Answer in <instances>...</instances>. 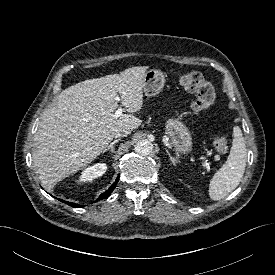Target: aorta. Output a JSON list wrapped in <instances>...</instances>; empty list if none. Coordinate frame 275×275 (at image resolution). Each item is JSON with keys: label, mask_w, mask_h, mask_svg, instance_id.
I'll return each mask as SVG.
<instances>
[{"label": "aorta", "mask_w": 275, "mask_h": 275, "mask_svg": "<svg viewBox=\"0 0 275 275\" xmlns=\"http://www.w3.org/2000/svg\"><path fill=\"white\" fill-rule=\"evenodd\" d=\"M134 150L141 156H148L153 151V144L147 139L139 140L134 145Z\"/></svg>", "instance_id": "obj_1"}]
</instances>
